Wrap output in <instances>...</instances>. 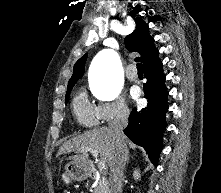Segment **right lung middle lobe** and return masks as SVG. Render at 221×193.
I'll list each match as a JSON object with an SVG mask.
<instances>
[{
	"label": "right lung middle lobe",
	"mask_w": 221,
	"mask_h": 193,
	"mask_svg": "<svg viewBox=\"0 0 221 193\" xmlns=\"http://www.w3.org/2000/svg\"><path fill=\"white\" fill-rule=\"evenodd\" d=\"M72 87H73V85L67 86V92H66V98H65L66 102L68 101V97H69V95H70V92H71V90H72Z\"/></svg>",
	"instance_id": "obj_1"
}]
</instances>
